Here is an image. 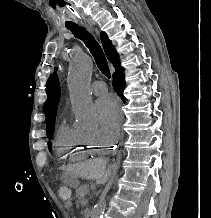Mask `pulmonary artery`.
Returning a JSON list of instances; mask_svg holds the SVG:
<instances>
[{
  "label": "pulmonary artery",
  "instance_id": "obj_1",
  "mask_svg": "<svg viewBox=\"0 0 211 218\" xmlns=\"http://www.w3.org/2000/svg\"><path fill=\"white\" fill-rule=\"evenodd\" d=\"M107 90V85L103 81H96L92 84V92L96 95H103Z\"/></svg>",
  "mask_w": 211,
  "mask_h": 218
}]
</instances>
